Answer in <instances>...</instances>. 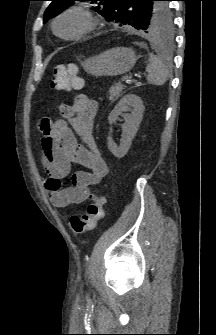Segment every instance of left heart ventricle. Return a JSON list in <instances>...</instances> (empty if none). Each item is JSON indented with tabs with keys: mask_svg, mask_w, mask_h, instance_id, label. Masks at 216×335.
Segmentation results:
<instances>
[{
	"mask_svg": "<svg viewBox=\"0 0 216 335\" xmlns=\"http://www.w3.org/2000/svg\"><path fill=\"white\" fill-rule=\"evenodd\" d=\"M84 26L83 19L76 14L64 16L57 25V30L61 35L71 36L78 33Z\"/></svg>",
	"mask_w": 216,
	"mask_h": 335,
	"instance_id": "1",
	"label": "left heart ventricle"
}]
</instances>
